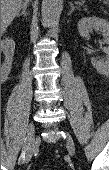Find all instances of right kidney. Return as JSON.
Wrapping results in <instances>:
<instances>
[{
  "mask_svg": "<svg viewBox=\"0 0 109 170\" xmlns=\"http://www.w3.org/2000/svg\"><path fill=\"white\" fill-rule=\"evenodd\" d=\"M1 48L5 55V60L1 66V76L2 79L5 80L7 79L12 66V60H13V55L15 50L14 40L11 38L3 39L1 41Z\"/></svg>",
  "mask_w": 109,
  "mask_h": 170,
  "instance_id": "ca27d5eb",
  "label": "right kidney"
}]
</instances>
